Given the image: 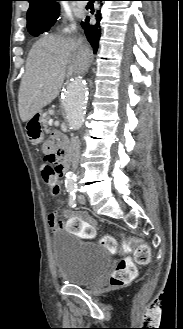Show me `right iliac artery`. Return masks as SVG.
Masks as SVG:
<instances>
[{
    "label": "right iliac artery",
    "mask_w": 183,
    "mask_h": 329,
    "mask_svg": "<svg viewBox=\"0 0 183 329\" xmlns=\"http://www.w3.org/2000/svg\"><path fill=\"white\" fill-rule=\"evenodd\" d=\"M68 192H69V206L74 208V207H76V200H75L76 199V195H75L76 190L69 189Z\"/></svg>",
    "instance_id": "82829eb1"
}]
</instances>
